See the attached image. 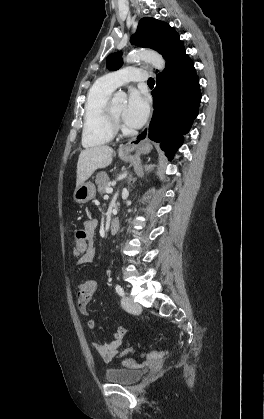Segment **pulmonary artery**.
Masks as SVG:
<instances>
[{"mask_svg": "<svg viewBox=\"0 0 264 419\" xmlns=\"http://www.w3.org/2000/svg\"><path fill=\"white\" fill-rule=\"evenodd\" d=\"M148 73L139 68L126 67L103 76L100 81L112 90L130 81H145Z\"/></svg>", "mask_w": 264, "mask_h": 419, "instance_id": "pulmonary-artery-1", "label": "pulmonary artery"}]
</instances>
